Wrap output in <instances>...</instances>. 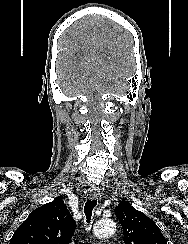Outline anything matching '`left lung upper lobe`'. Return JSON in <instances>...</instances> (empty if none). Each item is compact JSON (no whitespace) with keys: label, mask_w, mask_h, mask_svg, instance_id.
Here are the masks:
<instances>
[{"label":"left lung upper lobe","mask_w":188,"mask_h":244,"mask_svg":"<svg viewBox=\"0 0 188 244\" xmlns=\"http://www.w3.org/2000/svg\"><path fill=\"white\" fill-rule=\"evenodd\" d=\"M115 214L122 225L125 244H167L155 222L129 202H120Z\"/></svg>","instance_id":"obj_1"}]
</instances>
